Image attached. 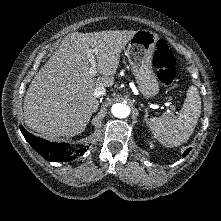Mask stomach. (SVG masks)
<instances>
[{"mask_svg":"<svg viewBox=\"0 0 221 221\" xmlns=\"http://www.w3.org/2000/svg\"><path fill=\"white\" fill-rule=\"evenodd\" d=\"M159 37L149 30H138L128 43L126 55L141 94L152 98L159 92V82L153 71V56Z\"/></svg>","mask_w":221,"mask_h":221,"instance_id":"1","label":"stomach"}]
</instances>
